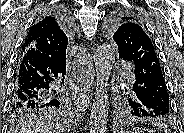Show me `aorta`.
<instances>
[{
  "label": "aorta",
  "instance_id": "762f6f07",
  "mask_svg": "<svg viewBox=\"0 0 184 133\" xmlns=\"http://www.w3.org/2000/svg\"><path fill=\"white\" fill-rule=\"evenodd\" d=\"M115 48L109 44H101L94 55L96 70L95 98L93 100L89 133H105L108 123L109 100L108 81L115 62Z\"/></svg>",
  "mask_w": 184,
  "mask_h": 133
}]
</instances>
